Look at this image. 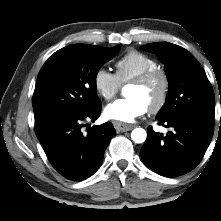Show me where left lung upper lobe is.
<instances>
[{"label": "left lung upper lobe", "mask_w": 221, "mask_h": 221, "mask_svg": "<svg viewBox=\"0 0 221 221\" xmlns=\"http://www.w3.org/2000/svg\"><path fill=\"white\" fill-rule=\"evenodd\" d=\"M142 49L153 52L160 58L165 64L169 80L166 102L156 119L192 115L214 124L213 89L194 56L186 49L168 42L150 43Z\"/></svg>", "instance_id": "obj_1"}]
</instances>
